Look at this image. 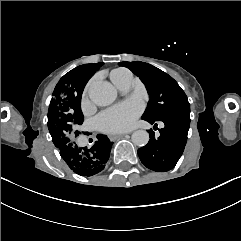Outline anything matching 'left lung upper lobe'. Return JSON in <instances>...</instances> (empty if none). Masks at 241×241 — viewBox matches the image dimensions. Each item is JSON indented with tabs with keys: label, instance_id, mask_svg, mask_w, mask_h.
I'll return each instance as SVG.
<instances>
[{
	"label": "left lung upper lobe",
	"instance_id": "left-lung-upper-lobe-1",
	"mask_svg": "<svg viewBox=\"0 0 241 241\" xmlns=\"http://www.w3.org/2000/svg\"><path fill=\"white\" fill-rule=\"evenodd\" d=\"M119 65L130 69L146 86L150 100L142 119L160 120L180 109L190 107L184 91L167 73L140 61H125L120 62Z\"/></svg>",
	"mask_w": 241,
	"mask_h": 241
}]
</instances>
